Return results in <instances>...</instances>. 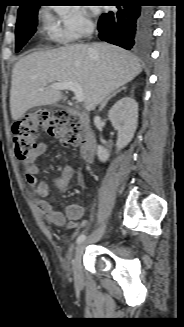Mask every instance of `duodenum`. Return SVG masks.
<instances>
[{
	"mask_svg": "<svg viewBox=\"0 0 184 327\" xmlns=\"http://www.w3.org/2000/svg\"><path fill=\"white\" fill-rule=\"evenodd\" d=\"M68 111L72 114H75L79 118V121L81 122L83 128L85 129L86 138L83 145L80 148V153L84 161L89 163L94 158L95 146H96V139L90 128L89 116L82 111H75L73 109H68Z\"/></svg>",
	"mask_w": 184,
	"mask_h": 327,
	"instance_id": "1",
	"label": "duodenum"
}]
</instances>
